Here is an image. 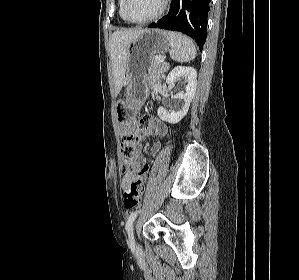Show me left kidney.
I'll use <instances>...</instances> for the list:
<instances>
[{
  "label": "left kidney",
  "mask_w": 299,
  "mask_h": 280,
  "mask_svg": "<svg viewBox=\"0 0 299 280\" xmlns=\"http://www.w3.org/2000/svg\"><path fill=\"white\" fill-rule=\"evenodd\" d=\"M179 78H184L187 85L185 91L178 92L173 96L175 110L168 112L164 107L157 110L160 119L171 124L178 123L185 117L196 91L197 72L193 67H175L168 74L166 83L172 85Z\"/></svg>",
  "instance_id": "5707ae66"
}]
</instances>
